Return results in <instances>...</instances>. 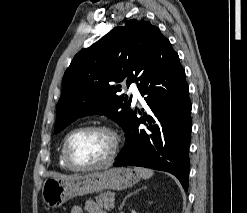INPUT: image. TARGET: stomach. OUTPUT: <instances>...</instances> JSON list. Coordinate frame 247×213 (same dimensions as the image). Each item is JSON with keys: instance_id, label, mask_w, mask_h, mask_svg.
<instances>
[{"instance_id": "1", "label": "stomach", "mask_w": 247, "mask_h": 213, "mask_svg": "<svg viewBox=\"0 0 247 213\" xmlns=\"http://www.w3.org/2000/svg\"><path fill=\"white\" fill-rule=\"evenodd\" d=\"M140 176L129 168H110L68 178L50 177L42 186L43 202L56 208L69 199L103 190H122L133 186Z\"/></svg>"}]
</instances>
